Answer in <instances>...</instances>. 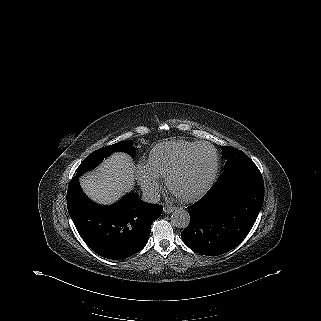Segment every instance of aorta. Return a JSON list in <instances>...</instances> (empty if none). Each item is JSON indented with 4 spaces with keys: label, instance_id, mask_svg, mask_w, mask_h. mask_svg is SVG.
Instances as JSON below:
<instances>
[{
    "label": "aorta",
    "instance_id": "1",
    "mask_svg": "<svg viewBox=\"0 0 321 321\" xmlns=\"http://www.w3.org/2000/svg\"><path fill=\"white\" fill-rule=\"evenodd\" d=\"M172 225L179 229H185L190 223V215L183 208L176 209L171 216Z\"/></svg>",
    "mask_w": 321,
    "mask_h": 321
}]
</instances>
